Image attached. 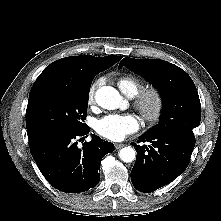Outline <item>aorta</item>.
Instances as JSON below:
<instances>
[{"instance_id": "1", "label": "aorta", "mask_w": 221, "mask_h": 221, "mask_svg": "<svg viewBox=\"0 0 221 221\" xmlns=\"http://www.w3.org/2000/svg\"><path fill=\"white\" fill-rule=\"evenodd\" d=\"M95 100L97 104L107 110H114L121 106L123 97L119 92L111 86H103L96 91ZM136 157L135 150L128 146L119 151V158L125 162L130 163Z\"/></svg>"}]
</instances>
